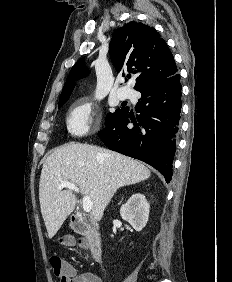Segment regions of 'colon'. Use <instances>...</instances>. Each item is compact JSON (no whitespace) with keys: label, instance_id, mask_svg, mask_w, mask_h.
Returning <instances> with one entry per match:
<instances>
[{"label":"colon","instance_id":"colon-1","mask_svg":"<svg viewBox=\"0 0 232 282\" xmlns=\"http://www.w3.org/2000/svg\"><path fill=\"white\" fill-rule=\"evenodd\" d=\"M63 242L69 243L68 240H63ZM50 265L59 282H70L72 267L64 259L58 255H52Z\"/></svg>","mask_w":232,"mask_h":282}]
</instances>
